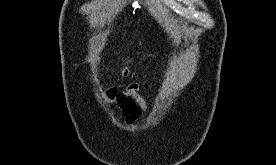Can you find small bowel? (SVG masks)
I'll list each match as a JSON object with an SVG mask.
<instances>
[{
    "mask_svg": "<svg viewBox=\"0 0 276 165\" xmlns=\"http://www.w3.org/2000/svg\"><path fill=\"white\" fill-rule=\"evenodd\" d=\"M141 88L140 83L131 82L123 90L111 87L105 92L106 99L119 107L128 124L134 123L149 111L147 101L140 94Z\"/></svg>",
    "mask_w": 276,
    "mask_h": 165,
    "instance_id": "1",
    "label": "small bowel"
}]
</instances>
